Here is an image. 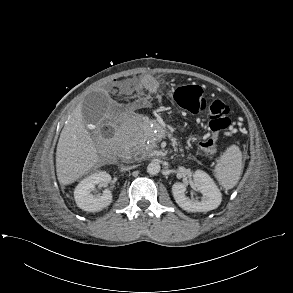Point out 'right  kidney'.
I'll return each mask as SVG.
<instances>
[{
  "mask_svg": "<svg viewBox=\"0 0 293 293\" xmlns=\"http://www.w3.org/2000/svg\"><path fill=\"white\" fill-rule=\"evenodd\" d=\"M110 182L111 176L105 171L94 173L83 179L74 190L77 206L88 212H97L109 206L113 198L109 190L103 191V194L96 198L91 194V191L98 184L107 185Z\"/></svg>",
  "mask_w": 293,
  "mask_h": 293,
  "instance_id": "right-kidney-1",
  "label": "right kidney"
}]
</instances>
